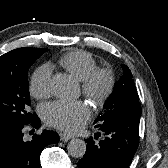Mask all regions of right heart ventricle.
<instances>
[{
	"instance_id": "e07e8e85",
	"label": "right heart ventricle",
	"mask_w": 168,
	"mask_h": 168,
	"mask_svg": "<svg viewBox=\"0 0 168 168\" xmlns=\"http://www.w3.org/2000/svg\"><path fill=\"white\" fill-rule=\"evenodd\" d=\"M58 63L68 73L81 81L97 68V61L94 56L83 50H75L64 54L59 58Z\"/></svg>"
}]
</instances>
